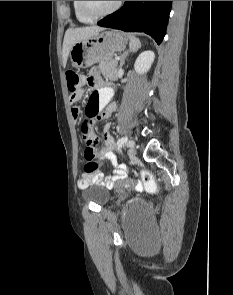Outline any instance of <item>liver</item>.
<instances>
[{
	"instance_id": "6515ba94",
	"label": "liver",
	"mask_w": 233,
	"mask_h": 295,
	"mask_svg": "<svg viewBox=\"0 0 233 295\" xmlns=\"http://www.w3.org/2000/svg\"><path fill=\"white\" fill-rule=\"evenodd\" d=\"M100 26H87L82 28H70L66 31L63 41L62 59L63 66H66L67 59L72 46L81 40L87 39L94 34L102 31Z\"/></svg>"
}]
</instances>
